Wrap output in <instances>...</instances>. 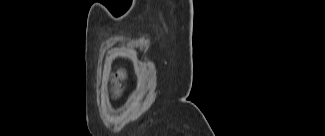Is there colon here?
<instances>
[{"label":"colon","instance_id":"obj_1","mask_svg":"<svg viewBox=\"0 0 325 136\" xmlns=\"http://www.w3.org/2000/svg\"><path fill=\"white\" fill-rule=\"evenodd\" d=\"M123 86V72L115 75L111 79V89L115 96H119Z\"/></svg>","mask_w":325,"mask_h":136}]
</instances>
